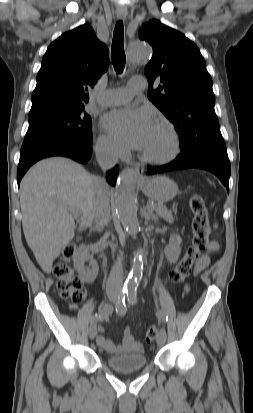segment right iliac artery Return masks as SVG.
Segmentation results:
<instances>
[{"label": "right iliac artery", "instance_id": "82829eb1", "mask_svg": "<svg viewBox=\"0 0 253 413\" xmlns=\"http://www.w3.org/2000/svg\"><path fill=\"white\" fill-rule=\"evenodd\" d=\"M127 292H128L127 290H124V289H123V291H122L121 294L119 295L118 301H117V303H116V305H115L116 313H117L118 315H120V316L125 315V313H126V311H127V307H126V304H125V296H126V293H127ZM99 319H101V315H100V314L94 315V316L91 318V324L97 322Z\"/></svg>", "mask_w": 253, "mask_h": 413}]
</instances>
